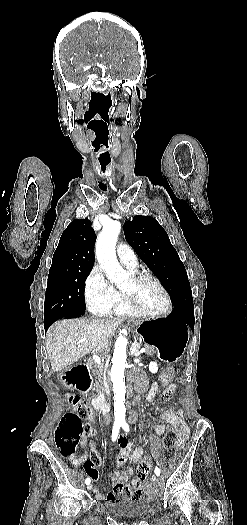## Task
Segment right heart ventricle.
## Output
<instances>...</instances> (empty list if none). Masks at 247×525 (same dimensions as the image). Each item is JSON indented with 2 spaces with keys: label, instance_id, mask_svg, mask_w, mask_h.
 Wrapping results in <instances>:
<instances>
[{
  "label": "right heart ventricle",
  "instance_id": "e07e8e85",
  "mask_svg": "<svg viewBox=\"0 0 247 525\" xmlns=\"http://www.w3.org/2000/svg\"><path fill=\"white\" fill-rule=\"evenodd\" d=\"M127 271L131 273L132 278L133 274L136 272L134 266L127 267ZM105 317H137L136 311L128 304H118L114 305L113 308L104 315Z\"/></svg>",
  "mask_w": 247,
  "mask_h": 525
}]
</instances>
